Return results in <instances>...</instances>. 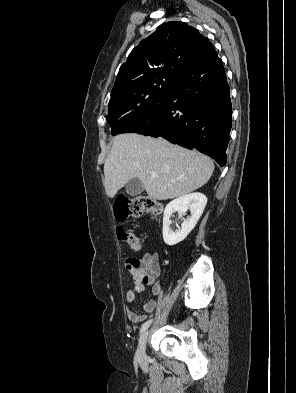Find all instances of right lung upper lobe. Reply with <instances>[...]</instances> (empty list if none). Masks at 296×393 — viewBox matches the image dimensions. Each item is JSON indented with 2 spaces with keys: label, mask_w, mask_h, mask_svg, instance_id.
I'll return each instance as SVG.
<instances>
[{
  "label": "right lung upper lobe",
  "mask_w": 296,
  "mask_h": 393,
  "mask_svg": "<svg viewBox=\"0 0 296 393\" xmlns=\"http://www.w3.org/2000/svg\"><path fill=\"white\" fill-rule=\"evenodd\" d=\"M212 47L208 38L184 22L160 25L120 67L109 104L138 96L155 80H177Z\"/></svg>",
  "instance_id": "right-lung-upper-lobe-1"
}]
</instances>
